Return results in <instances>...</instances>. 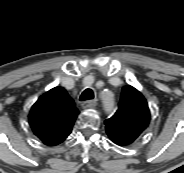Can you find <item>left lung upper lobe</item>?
<instances>
[{
  "mask_svg": "<svg viewBox=\"0 0 184 173\" xmlns=\"http://www.w3.org/2000/svg\"><path fill=\"white\" fill-rule=\"evenodd\" d=\"M149 118V107L143 95L130 85L124 86L117 111L105 120L106 133L130 145L147 128Z\"/></svg>",
  "mask_w": 184,
  "mask_h": 173,
  "instance_id": "5c2ea615",
  "label": "left lung upper lobe"
}]
</instances>
